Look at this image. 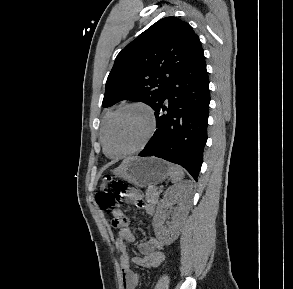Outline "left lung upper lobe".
Returning a JSON list of instances; mask_svg holds the SVG:
<instances>
[{"instance_id": "5c2ea615", "label": "left lung upper lobe", "mask_w": 293, "mask_h": 289, "mask_svg": "<svg viewBox=\"0 0 293 289\" xmlns=\"http://www.w3.org/2000/svg\"><path fill=\"white\" fill-rule=\"evenodd\" d=\"M192 27L177 17H165L116 57L106 82L103 106L135 100L152 108L167 85L202 52Z\"/></svg>"}]
</instances>
